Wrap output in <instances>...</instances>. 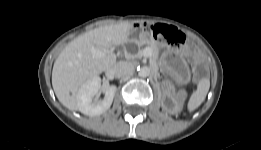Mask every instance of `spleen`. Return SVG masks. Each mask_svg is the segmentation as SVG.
Here are the masks:
<instances>
[{
  "label": "spleen",
  "mask_w": 261,
  "mask_h": 150,
  "mask_svg": "<svg viewBox=\"0 0 261 150\" xmlns=\"http://www.w3.org/2000/svg\"><path fill=\"white\" fill-rule=\"evenodd\" d=\"M209 88H210V81L208 79H203L198 83L197 89L192 93L188 101V105H187L188 111L190 112L194 111L202 104L209 91Z\"/></svg>",
  "instance_id": "obj_1"
}]
</instances>
